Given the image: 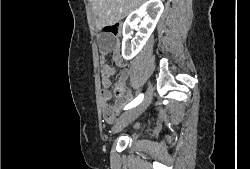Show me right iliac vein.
Listing matches in <instances>:
<instances>
[{
  "label": "right iliac vein",
  "mask_w": 250,
  "mask_h": 169,
  "mask_svg": "<svg viewBox=\"0 0 250 169\" xmlns=\"http://www.w3.org/2000/svg\"><path fill=\"white\" fill-rule=\"evenodd\" d=\"M153 96V90L151 87H148L147 93L143 101H141L137 107L125 112L120 116L117 123L113 127V132H118L127 126L131 121L138 118L149 106Z\"/></svg>",
  "instance_id": "1"
}]
</instances>
